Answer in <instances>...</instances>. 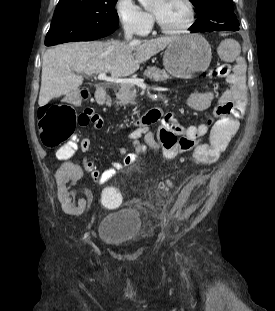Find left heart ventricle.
Returning <instances> with one entry per match:
<instances>
[{
	"label": "left heart ventricle",
	"instance_id": "left-heart-ventricle-1",
	"mask_svg": "<svg viewBox=\"0 0 275 311\" xmlns=\"http://www.w3.org/2000/svg\"><path fill=\"white\" fill-rule=\"evenodd\" d=\"M151 12L170 29L181 27L188 19V9L183 0H155Z\"/></svg>",
	"mask_w": 275,
	"mask_h": 311
}]
</instances>
